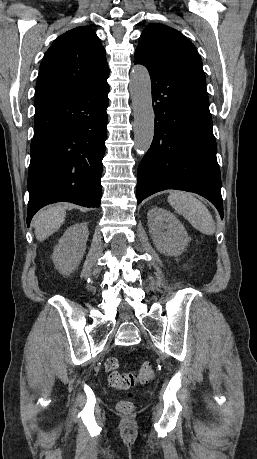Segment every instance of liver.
I'll return each instance as SVG.
<instances>
[{"label":"liver","instance_id":"6515ba94","mask_svg":"<svg viewBox=\"0 0 257 459\" xmlns=\"http://www.w3.org/2000/svg\"><path fill=\"white\" fill-rule=\"evenodd\" d=\"M66 216V208L56 205L40 211L33 221L37 240L44 241L63 224Z\"/></svg>","mask_w":257,"mask_h":459}]
</instances>
